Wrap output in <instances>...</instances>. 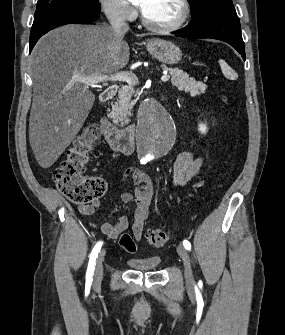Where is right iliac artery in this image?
Masks as SVG:
<instances>
[{"label":"right iliac artery","instance_id":"82829eb1","mask_svg":"<svg viewBox=\"0 0 285 335\" xmlns=\"http://www.w3.org/2000/svg\"><path fill=\"white\" fill-rule=\"evenodd\" d=\"M102 244L103 242H98L90 254L89 264L86 272V282H92L93 280L92 277L95 269L96 258L98 257V253L100 252Z\"/></svg>","mask_w":285,"mask_h":335}]
</instances>
